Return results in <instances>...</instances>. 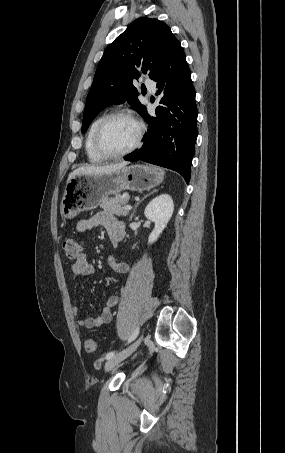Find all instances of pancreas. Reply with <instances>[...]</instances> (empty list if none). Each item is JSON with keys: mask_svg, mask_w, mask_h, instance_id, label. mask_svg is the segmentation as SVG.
<instances>
[{"mask_svg": "<svg viewBox=\"0 0 285 453\" xmlns=\"http://www.w3.org/2000/svg\"><path fill=\"white\" fill-rule=\"evenodd\" d=\"M129 196L128 195H117L115 198H106L104 199L100 207L107 212L115 214L116 216H127L129 214V210L124 208L125 204L128 202Z\"/></svg>", "mask_w": 285, "mask_h": 453, "instance_id": "1", "label": "pancreas"}]
</instances>
